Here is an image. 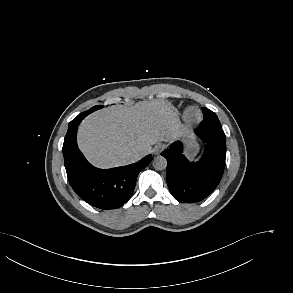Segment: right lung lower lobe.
<instances>
[{"mask_svg": "<svg viewBox=\"0 0 293 293\" xmlns=\"http://www.w3.org/2000/svg\"><path fill=\"white\" fill-rule=\"evenodd\" d=\"M90 113L83 112L69 123L63 144L67 177L76 194L88 204L100 209H116L130 199L138 173L151 162L152 156L112 169L93 167L76 144L78 125Z\"/></svg>", "mask_w": 293, "mask_h": 293, "instance_id": "98d812e1", "label": "right lung lower lobe"}]
</instances>
